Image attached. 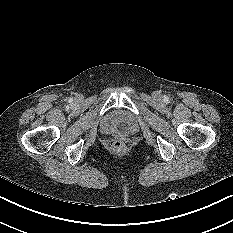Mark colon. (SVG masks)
Returning <instances> with one entry per match:
<instances>
[{
    "label": "colon",
    "mask_w": 233,
    "mask_h": 233,
    "mask_svg": "<svg viewBox=\"0 0 233 233\" xmlns=\"http://www.w3.org/2000/svg\"><path fill=\"white\" fill-rule=\"evenodd\" d=\"M112 148L116 152H121L124 149V144L120 141H116L113 143Z\"/></svg>",
    "instance_id": "colon-1"
}]
</instances>
